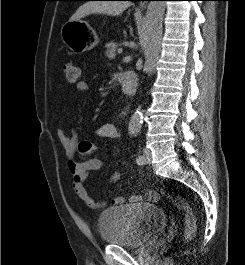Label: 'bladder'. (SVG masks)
<instances>
[{
    "mask_svg": "<svg viewBox=\"0 0 245 265\" xmlns=\"http://www.w3.org/2000/svg\"><path fill=\"white\" fill-rule=\"evenodd\" d=\"M165 211L154 204L137 203L104 209L97 220L101 239L109 245L142 247L167 225Z\"/></svg>",
    "mask_w": 245,
    "mask_h": 265,
    "instance_id": "1",
    "label": "bladder"
}]
</instances>
